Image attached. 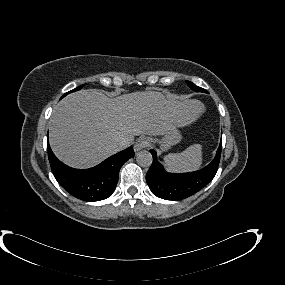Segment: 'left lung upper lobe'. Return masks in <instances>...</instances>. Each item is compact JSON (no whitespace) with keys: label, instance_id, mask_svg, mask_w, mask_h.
Listing matches in <instances>:
<instances>
[{"label":"left lung upper lobe","instance_id":"left-lung-upper-lobe-1","mask_svg":"<svg viewBox=\"0 0 285 285\" xmlns=\"http://www.w3.org/2000/svg\"><path fill=\"white\" fill-rule=\"evenodd\" d=\"M186 83H187V85H188L191 89H193V90L196 91V92H206V93H208L205 89L196 86V85L193 84L192 82L186 81Z\"/></svg>","mask_w":285,"mask_h":285}]
</instances>
